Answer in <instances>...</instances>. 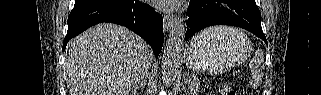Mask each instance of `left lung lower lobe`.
I'll list each match as a JSON object with an SVG mask.
<instances>
[{"instance_id": "0a47b994", "label": "left lung lower lobe", "mask_w": 321, "mask_h": 95, "mask_svg": "<svg viewBox=\"0 0 321 95\" xmlns=\"http://www.w3.org/2000/svg\"><path fill=\"white\" fill-rule=\"evenodd\" d=\"M187 13L186 40L206 27L231 25L244 28L267 43L255 0H190Z\"/></svg>"}]
</instances>
